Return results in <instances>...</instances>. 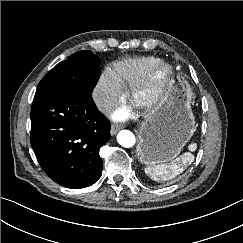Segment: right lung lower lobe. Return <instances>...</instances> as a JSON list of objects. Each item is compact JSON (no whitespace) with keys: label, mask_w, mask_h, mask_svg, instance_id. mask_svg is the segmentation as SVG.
Listing matches in <instances>:
<instances>
[{"label":"right lung lower lobe","mask_w":243,"mask_h":243,"mask_svg":"<svg viewBox=\"0 0 243 243\" xmlns=\"http://www.w3.org/2000/svg\"><path fill=\"white\" fill-rule=\"evenodd\" d=\"M91 93L37 89L31 108V146L44 172L72 188L94 184L102 174L100 148L110 123Z\"/></svg>","instance_id":"98d812e1"}]
</instances>
